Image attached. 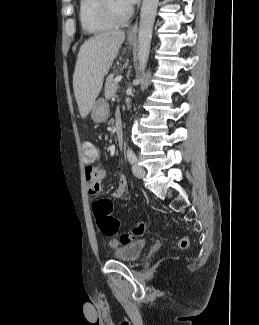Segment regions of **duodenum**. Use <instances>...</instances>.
<instances>
[{
    "mask_svg": "<svg viewBox=\"0 0 259 325\" xmlns=\"http://www.w3.org/2000/svg\"><path fill=\"white\" fill-rule=\"evenodd\" d=\"M115 133L117 138V144L118 146L121 147L124 141V132H123V123H122L121 115L119 113H116L115 116Z\"/></svg>",
    "mask_w": 259,
    "mask_h": 325,
    "instance_id": "1",
    "label": "duodenum"
}]
</instances>
